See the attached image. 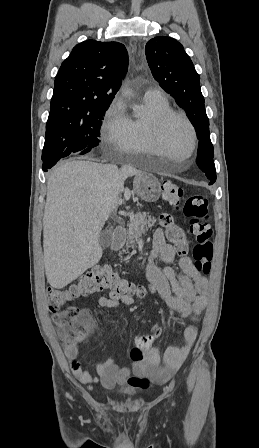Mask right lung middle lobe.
Here are the masks:
<instances>
[{
    "label": "right lung middle lobe",
    "instance_id": "right-lung-middle-lobe-1",
    "mask_svg": "<svg viewBox=\"0 0 259 448\" xmlns=\"http://www.w3.org/2000/svg\"><path fill=\"white\" fill-rule=\"evenodd\" d=\"M107 109L108 107H95L78 113H50L42 161L82 155L96 147Z\"/></svg>",
    "mask_w": 259,
    "mask_h": 448
}]
</instances>
